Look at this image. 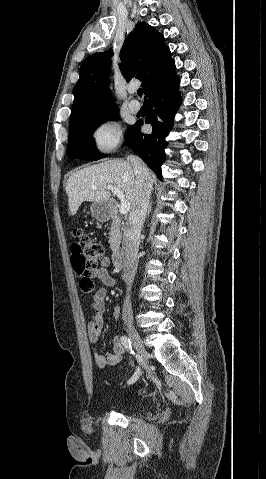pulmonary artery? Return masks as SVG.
Instances as JSON below:
<instances>
[{"mask_svg":"<svg viewBox=\"0 0 266 479\" xmlns=\"http://www.w3.org/2000/svg\"><path fill=\"white\" fill-rule=\"evenodd\" d=\"M129 92L134 93V90L130 89ZM128 107H129L131 112L136 113L140 110L141 105L137 100L133 99V100L129 101Z\"/></svg>","mask_w":266,"mask_h":479,"instance_id":"pulmonary-artery-1","label":"pulmonary artery"}]
</instances>
